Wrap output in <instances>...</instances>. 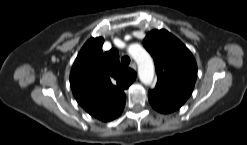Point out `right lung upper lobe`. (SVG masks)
<instances>
[{
  "mask_svg": "<svg viewBox=\"0 0 247 145\" xmlns=\"http://www.w3.org/2000/svg\"><path fill=\"white\" fill-rule=\"evenodd\" d=\"M104 39L91 38L80 50L70 73V85L77 102L102 121L117 118L126 101L124 90L136 72L120 65L116 49L102 52Z\"/></svg>",
  "mask_w": 247,
  "mask_h": 145,
  "instance_id": "obj_1",
  "label": "right lung upper lobe"
}]
</instances>
